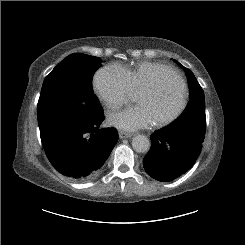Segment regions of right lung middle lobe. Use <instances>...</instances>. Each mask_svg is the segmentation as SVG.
<instances>
[{
  "label": "right lung middle lobe",
  "instance_id": "obj_1",
  "mask_svg": "<svg viewBox=\"0 0 245 245\" xmlns=\"http://www.w3.org/2000/svg\"><path fill=\"white\" fill-rule=\"evenodd\" d=\"M100 62L98 57L74 53L47 75L37 105L41 136L60 126L84 124L102 113L91 90Z\"/></svg>",
  "mask_w": 245,
  "mask_h": 245
}]
</instances>
